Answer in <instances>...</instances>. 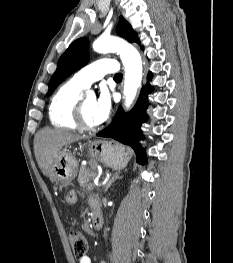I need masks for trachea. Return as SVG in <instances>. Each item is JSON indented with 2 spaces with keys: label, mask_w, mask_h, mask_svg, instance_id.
Segmentation results:
<instances>
[{
  "label": "trachea",
  "mask_w": 233,
  "mask_h": 263,
  "mask_svg": "<svg viewBox=\"0 0 233 263\" xmlns=\"http://www.w3.org/2000/svg\"><path fill=\"white\" fill-rule=\"evenodd\" d=\"M114 79L117 80V81H121V80H122V73H117V74L114 76Z\"/></svg>",
  "instance_id": "3493384b"
}]
</instances>
